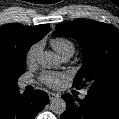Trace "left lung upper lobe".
<instances>
[{
    "label": "left lung upper lobe",
    "mask_w": 119,
    "mask_h": 119,
    "mask_svg": "<svg viewBox=\"0 0 119 119\" xmlns=\"http://www.w3.org/2000/svg\"><path fill=\"white\" fill-rule=\"evenodd\" d=\"M53 36L76 39L82 47L83 65L74 86L89 85L90 92L119 95V30L88 19L60 23Z\"/></svg>",
    "instance_id": "5c2ea615"
}]
</instances>
